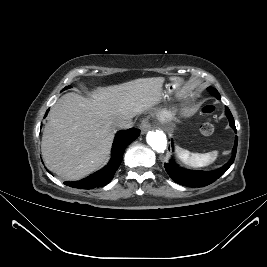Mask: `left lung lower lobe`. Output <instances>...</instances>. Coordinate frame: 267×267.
Here are the masks:
<instances>
[{"label":"left lung lower lobe","mask_w":267,"mask_h":267,"mask_svg":"<svg viewBox=\"0 0 267 267\" xmlns=\"http://www.w3.org/2000/svg\"><path fill=\"white\" fill-rule=\"evenodd\" d=\"M213 88L209 87L208 91L212 93ZM226 116L229 119L230 126L236 131L235 123L233 116L226 107ZM171 146L173 147V143L171 140ZM237 150V137L235 138V144L232 150V157L229 162H227L223 167L218 168L214 171H191L186 170L184 168L178 167L175 165L173 160L170 161V163L165 164V169L168 173V175L174 180L176 183L181 184L183 186L188 187H204L206 185L211 184L215 180H217L220 176H222L227 169L232 165Z\"/></svg>","instance_id":"left-lung-lower-lobe-1"}]
</instances>
